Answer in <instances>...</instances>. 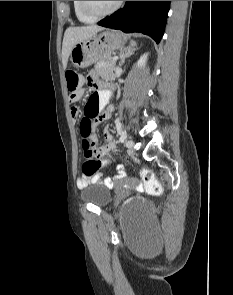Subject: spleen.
I'll return each instance as SVG.
<instances>
[{"label": "spleen", "mask_w": 233, "mask_h": 295, "mask_svg": "<svg viewBox=\"0 0 233 295\" xmlns=\"http://www.w3.org/2000/svg\"><path fill=\"white\" fill-rule=\"evenodd\" d=\"M136 45V42L135 41H131V46H135Z\"/></svg>", "instance_id": "1"}]
</instances>
